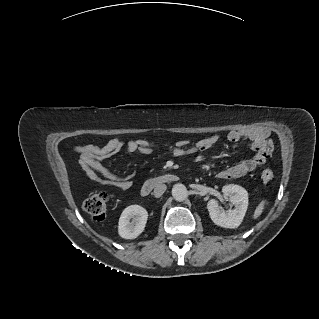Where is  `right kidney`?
<instances>
[{
	"mask_svg": "<svg viewBox=\"0 0 319 319\" xmlns=\"http://www.w3.org/2000/svg\"><path fill=\"white\" fill-rule=\"evenodd\" d=\"M148 219V213L140 205H130L126 207L118 223V233L124 239H135L143 231Z\"/></svg>",
	"mask_w": 319,
	"mask_h": 319,
	"instance_id": "obj_1",
	"label": "right kidney"
}]
</instances>
